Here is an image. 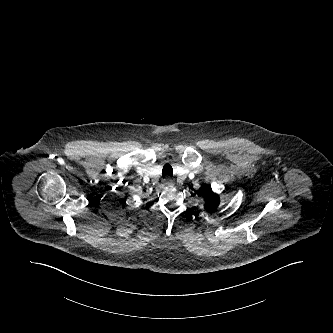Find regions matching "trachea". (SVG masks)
<instances>
[{"label":"trachea","mask_w":333,"mask_h":333,"mask_svg":"<svg viewBox=\"0 0 333 333\" xmlns=\"http://www.w3.org/2000/svg\"><path fill=\"white\" fill-rule=\"evenodd\" d=\"M162 175L164 176H172L173 175V169L171 165L165 164L163 169H162Z\"/></svg>","instance_id":"1"}]
</instances>
